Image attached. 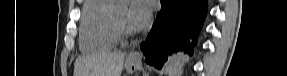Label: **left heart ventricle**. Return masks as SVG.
I'll return each mask as SVG.
<instances>
[{
  "label": "left heart ventricle",
  "instance_id": "1",
  "mask_svg": "<svg viewBox=\"0 0 287 76\" xmlns=\"http://www.w3.org/2000/svg\"><path fill=\"white\" fill-rule=\"evenodd\" d=\"M115 15L123 24L132 28L128 21V9L126 7H119L115 9Z\"/></svg>",
  "mask_w": 287,
  "mask_h": 76
}]
</instances>
